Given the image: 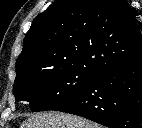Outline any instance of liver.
Returning <instances> with one entry per match:
<instances>
[{"label": "liver", "mask_w": 142, "mask_h": 128, "mask_svg": "<svg viewBox=\"0 0 142 128\" xmlns=\"http://www.w3.org/2000/svg\"><path fill=\"white\" fill-rule=\"evenodd\" d=\"M20 128H100L82 117L65 113H36L26 119Z\"/></svg>", "instance_id": "obj_1"}]
</instances>
